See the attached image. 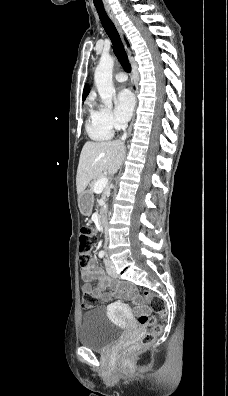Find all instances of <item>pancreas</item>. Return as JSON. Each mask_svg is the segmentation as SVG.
Instances as JSON below:
<instances>
[{"instance_id": "pancreas-1", "label": "pancreas", "mask_w": 228, "mask_h": 396, "mask_svg": "<svg viewBox=\"0 0 228 396\" xmlns=\"http://www.w3.org/2000/svg\"><path fill=\"white\" fill-rule=\"evenodd\" d=\"M102 177H104V176L100 174L98 177L94 178V179L91 181V183L89 184L90 190L94 191V185H95L96 182H97L99 179H101ZM106 194H107V192H104V193H103L104 198H105Z\"/></svg>"}]
</instances>
